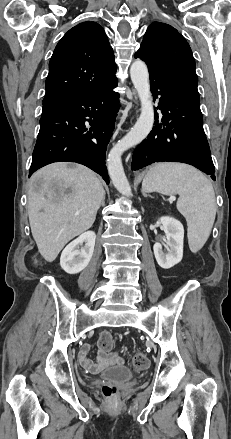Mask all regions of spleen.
Masks as SVG:
<instances>
[{
  "label": "spleen",
  "mask_w": 231,
  "mask_h": 439,
  "mask_svg": "<svg viewBox=\"0 0 231 439\" xmlns=\"http://www.w3.org/2000/svg\"><path fill=\"white\" fill-rule=\"evenodd\" d=\"M143 192L179 194L177 209L187 221L190 250L199 251L207 241L216 216L212 183L200 171L181 163H159L142 182Z\"/></svg>",
  "instance_id": "1"
}]
</instances>
